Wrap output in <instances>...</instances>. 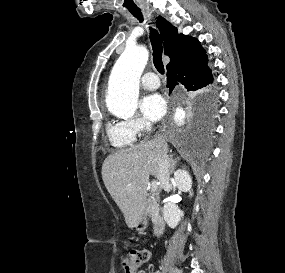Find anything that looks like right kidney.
Listing matches in <instances>:
<instances>
[{"instance_id":"right-kidney-1","label":"right kidney","mask_w":285,"mask_h":273,"mask_svg":"<svg viewBox=\"0 0 285 273\" xmlns=\"http://www.w3.org/2000/svg\"><path fill=\"white\" fill-rule=\"evenodd\" d=\"M174 178L179 190L189 192L190 196L193 195L191 192L192 179L187 171L181 169L177 170L174 174ZM183 215V211L174 203H167L163 207L164 220L171 228H175L178 225Z\"/></svg>"}]
</instances>
